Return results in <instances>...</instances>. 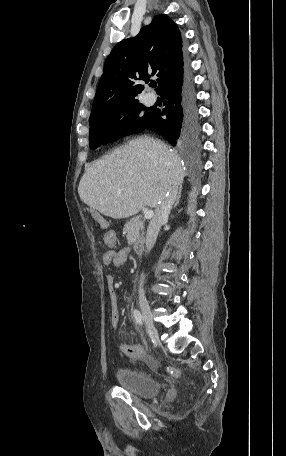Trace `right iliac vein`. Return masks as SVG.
<instances>
[{
	"label": "right iliac vein",
	"mask_w": 286,
	"mask_h": 456,
	"mask_svg": "<svg viewBox=\"0 0 286 456\" xmlns=\"http://www.w3.org/2000/svg\"><path fill=\"white\" fill-rule=\"evenodd\" d=\"M139 305H140V309H141L144 321H145L149 331L151 333H154L155 327H154V322H153V318H152V312H151L150 305H149L147 299L145 297L141 296L139 298Z\"/></svg>",
	"instance_id": "1"
}]
</instances>
